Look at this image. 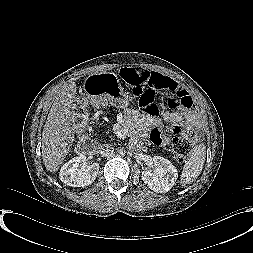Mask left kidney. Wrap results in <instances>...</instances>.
I'll list each match as a JSON object with an SVG mask.
<instances>
[{"label":"left kidney","mask_w":253,"mask_h":253,"mask_svg":"<svg viewBox=\"0 0 253 253\" xmlns=\"http://www.w3.org/2000/svg\"><path fill=\"white\" fill-rule=\"evenodd\" d=\"M151 170L142 171V180L154 192L166 193L175 184L178 173L174 165L161 156H154L150 163Z\"/></svg>","instance_id":"left-kidney-1"}]
</instances>
